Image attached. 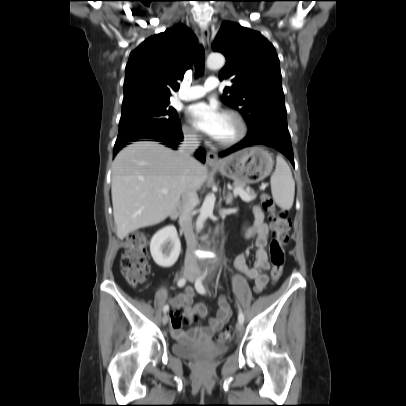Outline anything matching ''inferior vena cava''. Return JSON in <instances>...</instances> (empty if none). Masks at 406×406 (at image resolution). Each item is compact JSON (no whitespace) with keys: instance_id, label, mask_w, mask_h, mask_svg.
<instances>
[{"instance_id":"inferior-vena-cava-1","label":"inferior vena cava","mask_w":406,"mask_h":406,"mask_svg":"<svg viewBox=\"0 0 406 406\" xmlns=\"http://www.w3.org/2000/svg\"><path fill=\"white\" fill-rule=\"evenodd\" d=\"M199 138L194 133H187L184 135V140L179 146L178 152L181 157L188 164L187 176L191 182L190 188L182 195L181 211L179 222L180 226L184 232L186 243H187V253L185 257V268H196L197 260L193 254L196 248V238L193 232L192 226V213L198 202V195L196 189L194 188L193 182V171L192 166L196 163V160L192 157V154L199 147Z\"/></svg>"}]
</instances>
